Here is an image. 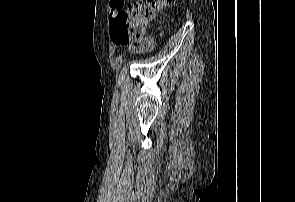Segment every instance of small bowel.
<instances>
[{
	"mask_svg": "<svg viewBox=\"0 0 295 202\" xmlns=\"http://www.w3.org/2000/svg\"><path fill=\"white\" fill-rule=\"evenodd\" d=\"M126 0H110L109 6H110V15L113 19L116 18V16L124 9ZM147 42L150 44L152 43L151 38L146 39ZM131 50L137 51L133 46H129Z\"/></svg>",
	"mask_w": 295,
	"mask_h": 202,
	"instance_id": "obj_1",
	"label": "small bowel"
}]
</instances>
